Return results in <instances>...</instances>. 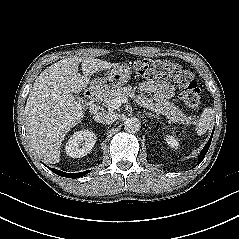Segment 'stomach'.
<instances>
[{
	"instance_id": "0dacf381",
	"label": "stomach",
	"mask_w": 239,
	"mask_h": 239,
	"mask_svg": "<svg viewBox=\"0 0 239 239\" xmlns=\"http://www.w3.org/2000/svg\"><path fill=\"white\" fill-rule=\"evenodd\" d=\"M130 78L131 70L129 66H116L111 69L107 76L94 79L91 82V88L106 93L125 85Z\"/></svg>"
}]
</instances>
